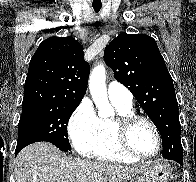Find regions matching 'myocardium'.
<instances>
[{"label": "myocardium", "instance_id": "f54148a6", "mask_svg": "<svg viewBox=\"0 0 196 182\" xmlns=\"http://www.w3.org/2000/svg\"><path fill=\"white\" fill-rule=\"evenodd\" d=\"M139 121H143L147 123L152 128L155 134L157 146H156V150L151 155H142L136 152L130 145L129 142L130 129L134 124H136ZM113 129H114L115 140L120 150L134 159L149 160L156 157L161 151L162 148L161 133L159 131V128L155 124V122L149 117H146L144 115H139L136 113L118 114V116L113 120Z\"/></svg>", "mask_w": 196, "mask_h": 182}]
</instances>
